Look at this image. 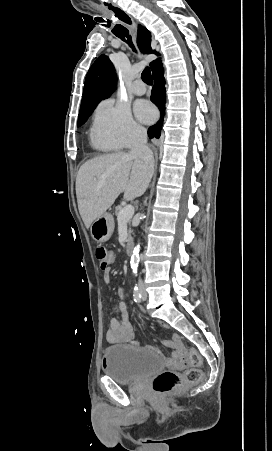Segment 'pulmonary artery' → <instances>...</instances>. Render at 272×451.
Segmentation results:
<instances>
[{
  "instance_id": "pulmonary-artery-1",
  "label": "pulmonary artery",
  "mask_w": 272,
  "mask_h": 451,
  "mask_svg": "<svg viewBox=\"0 0 272 451\" xmlns=\"http://www.w3.org/2000/svg\"><path fill=\"white\" fill-rule=\"evenodd\" d=\"M136 87L132 89L133 94L137 95V96H141L143 95L145 92L144 90V82L141 79L136 80L135 82Z\"/></svg>"
}]
</instances>
